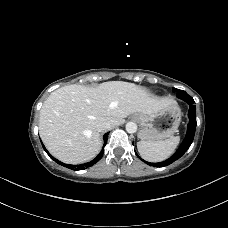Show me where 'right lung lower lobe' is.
I'll return each instance as SVG.
<instances>
[{"label": "right lung lower lobe", "instance_id": "right-lung-lower-lobe-1", "mask_svg": "<svg viewBox=\"0 0 228 228\" xmlns=\"http://www.w3.org/2000/svg\"><path fill=\"white\" fill-rule=\"evenodd\" d=\"M107 135H108V133H106V134L104 135V137H103V138H104V145H103V148H102L101 152L97 155V157H96L95 159H93L92 161H90V162H88V163H85V164H80V165L64 164V163L58 161L57 159H55L54 157H52V156L48 153V151L45 149L44 146H43V148L45 149V151L47 152V154H48L55 162H57L58 164L64 165L65 167L70 168V169H72V170H83V169H86V168H88V167L94 165L96 162H98V161L102 158V156H103V154H104V147H105V145H106V143H107Z\"/></svg>", "mask_w": 228, "mask_h": 228}]
</instances>
